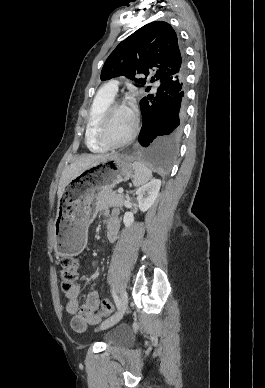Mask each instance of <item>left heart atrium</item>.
I'll use <instances>...</instances> for the list:
<instances>
[{"instance_id": "left-heart-atrium-1", "label": "left heart atrium", "mask_w": 265, "mask_h": 388, "mask_svg": "<svg viewBox=\"0 0 265 388\" xmlns=\"http://www.w3.org/2000/svg\"><path fill=\"white\" fill-rule=\"evenodd\" d=\"M126 111H127V114L129 116L130 120L134 121L137 117V114H138L136 105L134 103H130L129 106L127 107Z\"/></svg>"}]
</instances>
